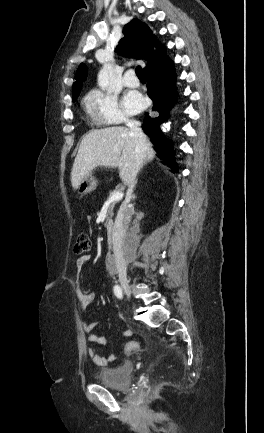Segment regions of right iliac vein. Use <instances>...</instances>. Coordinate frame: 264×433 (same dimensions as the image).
Listing matches in <instances>:
<instances>
[{
	"instance_id": "right-iliac-vein-1",
	"label": "right iliac vein",
	"mask_w": 264,
	"mask_h": 433,
	"mask_svg": "<svg viewBox=\"0 0 264 433\" xmlns=\"http://www.w3.org/2000/svg\"><path fill=\"white\" fill-rule=\"evenodd\" d=\"M119 281H120V285H121L122 289L124 290L125 294L128 297H130V295H131V288L129 286L128 280L126 278H124V277H121L119 279Z\"/></svg>"
}]
</instances>
